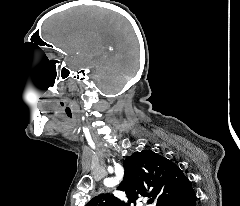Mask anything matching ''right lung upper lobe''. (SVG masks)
I'll list each match as a JSON object with an SVG mask.
<instances>
[{
  "mask_svg": "<svg viewBox=\"0 0 240 206\" xmlns=\"http://www.w3.org/2000/svg\"><path fill=\"white\" fill-rule=\"evenodd\" d=\"M124 179L118 189L126 192L129 203L113 194H99L86 206H130L142 196H152L156 206L180 194L190 181L182 170L171 160L151 151L135 152L124 161Z\"/></svg>",
  "mask_w": 240,
  "mask_h": 206,
  "instance_id": "cb5924a9",
  "label": "right lung upper lobe"
}]
</instances>
